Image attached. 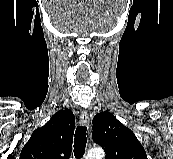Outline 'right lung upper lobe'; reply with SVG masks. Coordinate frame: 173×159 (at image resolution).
I'll return each mask as SVG.
<instances>
[{"label":"right lung upper lobe","instance_id":"1","mask_svg":"<svg viewBox=\"0 0 173 159\" xmlns=\"http://www.w3.org/2000/svg\"><path fill=\"white\" fill-rule=\"evenodd\" d=\"M75 118L71 110L55 113L36 129L23 147L20 159H68L71 155Z\"/></svg>","mask_w":173,"mask_h":159}]
</instances>
